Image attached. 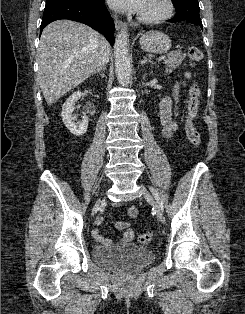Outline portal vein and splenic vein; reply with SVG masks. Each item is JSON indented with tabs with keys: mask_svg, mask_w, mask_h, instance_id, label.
Instances as JSON below:
<instances>
[{
	"mask_svg": "<svg viewBox=\"0 0 245 314\" xmlns=\"http://www.w3.org/2000/svg\"><path fill=\"white\" fill-rule=\"evenodd\" d=\"M166 58V56L164 55V56H161V57H159L158 59H157V61H162V60H164Z\"/></svg>",
	"mask_w": 245,
	"mask_h": 314,
	"instance_id": "1",
	"label": "portal vein and splenic vein"
}]
</instances>
